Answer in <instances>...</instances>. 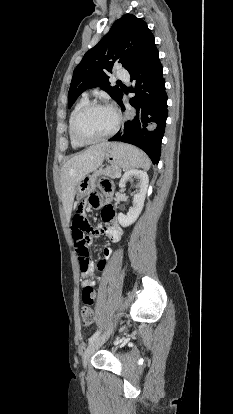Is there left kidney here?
I'll return each mask as SVG.
<instances>
[{"instance_id":"left-kidney-1","label":"left kidney","mask_w":233,"mask_h":414,"mask_svg":"<svg viewBox=\"0 0 233 414\" xmlns=\"http://www.w3.org/2000/svg\"><path fill=\"white\" fill-rule=\"evenodd\" d=\"M132 177H137L139 179V190L133 197V206L129 209L128 213L126 215L123 213L118 214L119 224L123 227H127L133 224L139 217L144 206L145 196L148 188V175L145 171L141 170H129L125 172L119 182V187L124 188L126 182Z\"/></svg>"}]
</instances>
